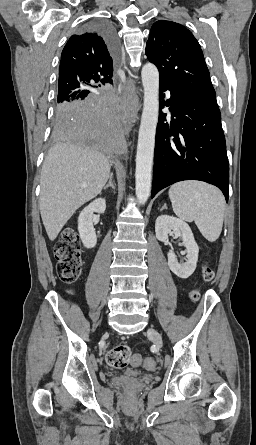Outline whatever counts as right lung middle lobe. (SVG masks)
<instances>
[{
	"mask_svg": "<svg viewBox=\"0 0 256 445\" xmlns=\"http://www.w3.org/2000/svg\"><path fill=\"white\" fill-rule=\"evenodd\" d=\"M66 103H68V101H66V102L57 101L56 111L59 110L60 108H62L64 105H66Z\"/></svg>",
	"mask_w": 256,
	"mask_h": 445,
	"instance_id": "right-lung-middle-lobe-1",
	"label": "right lung middle lobe"
}]
</instances>
